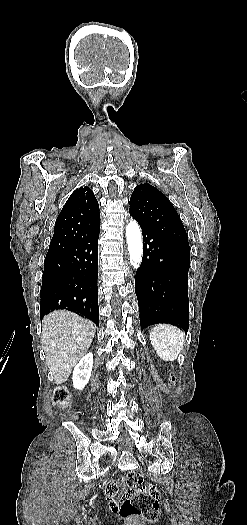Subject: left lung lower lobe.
<instances>
[{"instance_id":"obj_1","label":"left lung lower lobe","mask_w":247,"mask_h":525,"mask_svg":"<svg viewBox=\"0 0 247 525\" xmlns=\"http://www.w3.org/2000/svg\"><path fill=\"white\" fill-rule=\"evenodd\" d=\"M143 259L135 275L140 325L189 324L188 270L190 251L164 232L140 226Z\"/></svg>"}]
</instances>
